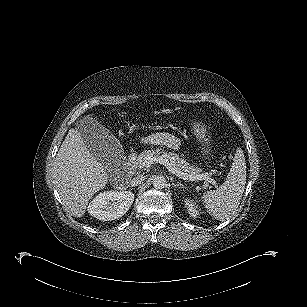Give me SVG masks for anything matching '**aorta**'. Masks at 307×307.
<instances>
[{
  "instance_id": "762f6f07",
  "label": "aorta",
  "mask_w": 307,
  "mask_h": 307,
  "mask_svg": "<svg viewBox=\"0 0 307 307\" xmlns=\"http://www.w3.org/2000/svg\"><path fill=\"white\" fill-rule=\"evenodd\" d=\"M152 185L155 189H163L166 186V179L164 176H155L152 179Z\"/></svg>"
}]
</instances>
